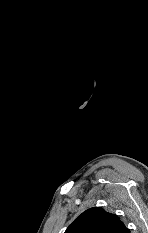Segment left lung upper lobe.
<instances>
[{"instance_id": "5c2ea615", "label": "left lung upper lobe", "mask_w": 148, "mask_h": 233, "mask_svg": "<svg viewBox=\"0 0 148 233\" xmlns=\"http://www.w3.org/2000/svg\"><path fill=\"white\" fill-rule=\"evenodd\" d=\"M65 233H130V231L118 216L94 207L78 216Z\"/></svg>"}]
</instances>
